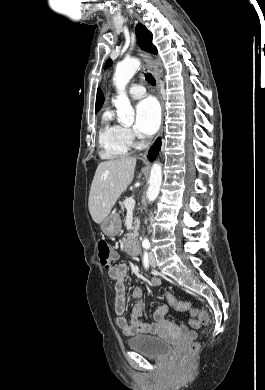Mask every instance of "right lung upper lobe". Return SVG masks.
Masks as SVG:
<instances>
[{
    "label": "right lung upper lobe",
    "instance_id": "obj_1",
    "mask_svg": "<svg viewBox=\"0 0 265 390\" xmlns=\"http://www.w3.org/2000/svg\"><path fill=\"white\" fill-rule=\"evenodd\" d=\"M104 103V95L101 91V89L97 90V97H96V111H99V109L102 107V104Z\"/></svg>",
    "mask_w": 265,
    "mask_h": 390
}]
</instances>
